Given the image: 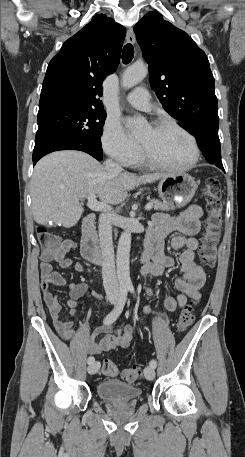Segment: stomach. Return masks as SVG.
Returning <instances> with one entry per match:
<instances>
[{
	"mask_svg": "<svg viewBox=\"0 0 245 457\" xmlns=\"http://www.w3.org/2000/svg\"><path fill=\"white\" fill-rule=\"evenodd\" d=\"M196 188V180L186 172H182V174L180 172L178 174L171 172V174L163 176L158 184L159 196L165 202H172L176 206H184V204L190 202L196 192Z\"/></svg>",
	"mask_w": 245,
	"mask_h": 457,
	"instance_id": "1",
	"label": "stomach"
}]
</instances>
